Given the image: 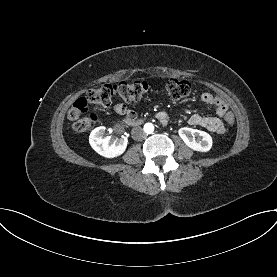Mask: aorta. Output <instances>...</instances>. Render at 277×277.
I'll use <instances>...</instances> for the list:
<instances>
[{
    "label": "aorta",
    "mask_w": 277,
    "mask_h": 277,
    "mask_svg": "<svg viewBox=\"0 0 277 277\" xmlns=\"http://www.w3.org/2000/svg\"><path fill=\"white\" fill-rule=\"evenodd\" d=\"M144 131H145V133H147V134L153 133V131H154V125H153L152 123H146V124L144 125Z\"/></svg>",
    "instance_id": "obj_1"
}]
</instances>
